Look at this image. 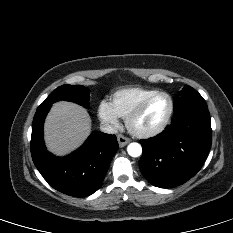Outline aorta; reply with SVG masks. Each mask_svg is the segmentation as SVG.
Here are the masks:
<instances>
[{
  "mask_svg": "<svg viewBox=\"0 0 233 233\" xmlns=\"http://www.w3.org/2000/svg\"><path fill=\"white\" fill-rule=\"evenodd\" d=\"M127 152L132 157H139L142 154V147L139 143L133 142L127 146Z\"/></svg>",
  "mask_w": 233,
  "mask_h": 233,
  "instance_id": "obj_1",
  "label": "aorta"
}]
</instances>
